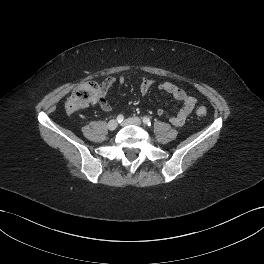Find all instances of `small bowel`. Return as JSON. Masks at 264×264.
Masks as SVG:
<instances>
[{"label": "small bowel", "instance_id": "small-bowel-1", "mask_svg": "<svg viewBox=\"0 0 264 264\" xmlns=\"http://www.w3.org/2000/svg\"><path fill=\"white\" fill-rule=\"evenodd\" d=\"M116 82H118L120 85H125L129 82H135V79L132 78L131 76H121L118 80H116L113 77H109L103 81V83L100 86V92L96 102H98L101 109L105 112H109L112 109L110 103L106 99V93ZM138 84H139V91L143 95L147 94L150 91V89L155 86L159 91H164L169 93L176 100L182 103L179 111L169 117V121L174 126L183 125L196 106V99L194 97L188 95L183 89H181L180 87H178L177 85L171 82L157 83L153 79L142 78L140 79ZM156 112L159 116H162L164 114V110L162 108H158Z\"/></svg>", "mask_w": 264, "mask_h": 264}]
</instances>
